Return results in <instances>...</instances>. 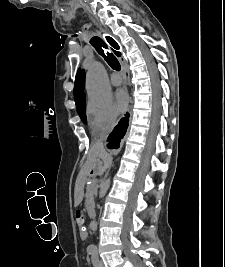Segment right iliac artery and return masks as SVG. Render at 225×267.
Listing matches in <instances>:
<instances>
[{"label":"right iliac artery","mask_w":225,"mask_h":267,"mask_svg":"<svg viewBox=\"0 0 225 267\" xmlns=\"http://www.w3.org/2000/svg\"><path fill=\"white\" fill-rule=\"evenodd\" d=\"M87 252H88V254H93V253H94V250L89 248V249L87 250Z\"/></svg>","instance_id":"1"}]
</instances>
